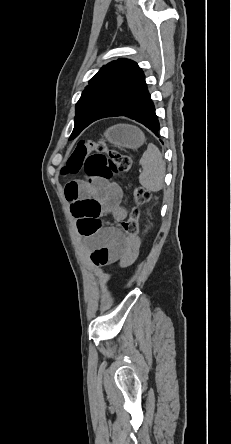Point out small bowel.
Instances as JSON below:
<instances>
[{
  "label": "small bowel",
  "mask_w": 231,
  "mask_h": 444,
  "mask_svg": "<svg viewBox=\"0 0 231 444\" xmlns=\"http://www.w3.org/2000/svg\"><path fill=\"white\" fill-rule=\"evenodd\" d=\"M65 196L73 206L82 200H94L99 204V217H112L116 225L100 228L88 237L91 244V260L96 265L118 263L127 267L134 263L139 253L140 239L130 240L122 234L119 225L127 216V209L121 204V190L116 184L97 179L91 184L71 181L65 188Z\"/></svg>",
  "instance_id": "1"
}]
</instances>
